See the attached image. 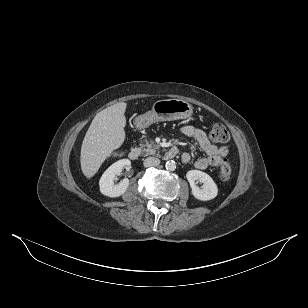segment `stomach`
Listing matches in <instances>:
<instances>
[{"label":"stomach","instance_id":"0dacf381","mask_svg":"<svg viewBox=\"0 0 308 308\" xmlns=\"http://www.w3.org/2000/svg\"><path fill=\"white\" fill-rule=\"evenodd\" d=\"M193 113L190 103L182 99H162L153 104L152 110L139 115L136 125L139 128H146L161 121H173L189 118Z\"/></svg>","mask_w":308,"mask_h":308}]
</instances>
